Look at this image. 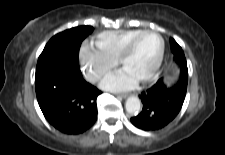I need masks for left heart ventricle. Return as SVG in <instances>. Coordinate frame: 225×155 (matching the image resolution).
Masks as SVG:
<instances>
[{
  "mask_svg": "<svg viewBox=\"0 0 225 155\" xmlns=\"http://www.w3.org/2000/svg\"><path fill=\"white\" fill-rule=\"evenodd\" d=\"M160 51V40L154 34L142 36L125 59L123 68L131 72L138 80L145 77L153 68Z\"/></svg>",
  "mask_w": 225,
  "mask_h": 155,
  "instance_id": "b2bd125f",
  "label": "left heart ventricle"
}]
</instances>
